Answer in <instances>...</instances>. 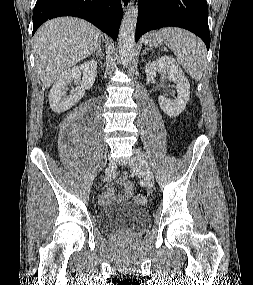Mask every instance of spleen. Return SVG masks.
Masks as SVG:
<instances>
[{
	"instance_id": "obj_1",
	"label": "spleen",
	"mask_w": 253,
	"mask_h": 285,
	"mask_svg": "<svg viewBox=\"0 0 253 285\" xmlns=\"http://www.w3.org/2000/svg\"><path fill=\"white\" fill-rule=\"evenodd\" d=\"M168 41L178 63L195 80H200L206 64L204 43L194 34L180 28H163L160 31Z\"/></svg>"
}]
</instances>
